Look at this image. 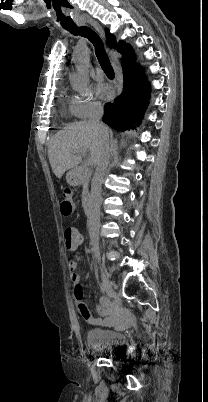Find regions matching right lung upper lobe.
<instances>
[{
    "label": "right lung upper lobe",
    "instance_id": "cb5924a9",
    "mask_svg": "<svg viewBox=\"0 0 208 402\" xmlns=\"http://www.w3.org/2000/svg\"><path fill=\"white\" fill-rule=\"evenodd\" d=\"M106 37L108 45L113 48L116 47L118 52H121L126 45L125 42L117 43L115 36L110 34L108 29L106 30Z\"/></svg>",
    "mask_w": 208,
    "mask_h": 402
}]
</instances>
